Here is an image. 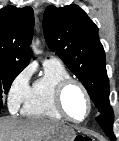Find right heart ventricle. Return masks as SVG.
Returning <instances> with one entry per match:
<instances>
[{
	"label": "right heart ventricle",
	"instance_id": "e07e8e85",
	"mask_svg": "<svg viewBox=\"0 0 119 141\" xmlns=\"http://www.w3.org/2000/svg\"><path fill=\"white\" fill-rule=\"evenodd\" d=\"M70 77L61 62L45 60L44 72L30 87L23 103L22 113L30 117L62 120L63 117L55 107L54 91L60 81Z\"/></svg>",
	"mask_w": 119,
	"mask_h": 141
}]
</instances>
